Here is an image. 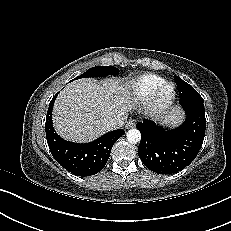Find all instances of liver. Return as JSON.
I'll use <instances>...</instances> for the list:
<instances>
[{"label":"liver","mask_w":231,"mask_h":231,"mask_svg":"<svg viewBox=\"0 0 231 231\" xmlns=\"http://www.w3.org/2000/svg\"><path fill=\"white\" fill-rule=\"evenodd\" d=\"M129 85L119 80L83 78L69 83L58 95L53 108V125L64 139L92 141L108 131L107 121L131 109ZM171 119L182 121L180 110Z\"/></svg>","instance_id":"1"}]
</instances>
